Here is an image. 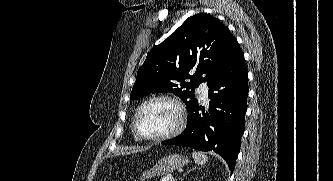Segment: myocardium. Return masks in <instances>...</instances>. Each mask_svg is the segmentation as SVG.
Returning <instances> with one entry per match:
<instances>
[{"mask_svg":"<svg viewBox=\"0 0 333 181\" xmlns=\"http://www.w3.org/2000/svg\"><path fill=\"white\" fill-rule=\"evenodd\" d=\"M158 100L171 102L176 107L177 113H178L177 123L174 126V128L171 129L167 133H164L159 136H145L138 129V126H137L138 117L145 106H147L148 104H150L154 101H158ZM185 119H186L185 107H184L183 103L177 97L168 95V94L154 95V96L146 99L145 101H143L137 108L135 115L133 117V121H132V130H133L134 134L142 140L152 141V142L165 141V140L175 137L183 130V128L185 126Z\"/></svg>","mask_w":333,"mask_h":181,"instance_id":"obj_1","label":"myocardium"}]
</instances>
